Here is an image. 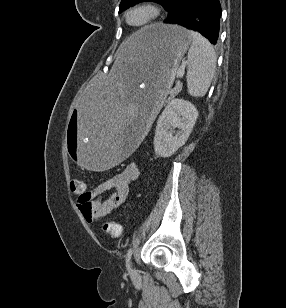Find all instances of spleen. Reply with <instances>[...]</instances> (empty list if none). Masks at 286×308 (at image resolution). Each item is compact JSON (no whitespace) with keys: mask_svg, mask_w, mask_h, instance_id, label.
Returning a JSON list of instances; mask_svg holds the SVG:
<instances>
[{"mask_svg":"<svg viewBox=\"0 0 286 308\" xmlns=\"http://www.w3.org/2000/svg\"><path fill=\"white\" fill-rule=\"evenodd\" d=\"M192 38L186 61L187 88L193 97H203L211 84L216 68V54L211 43L200 33L188 31Z\"/></svg>","mask_w":286,"mask_h":308,"instance_id":"obj_1","label":"spleen"}]
</instances>
